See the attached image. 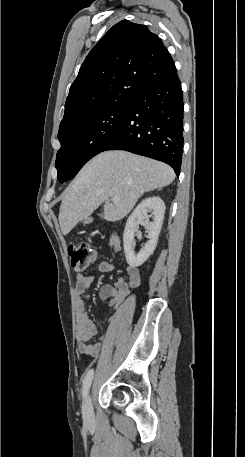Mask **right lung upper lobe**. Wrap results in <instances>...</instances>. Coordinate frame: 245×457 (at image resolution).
Segmentation results:
<instances>
[{"label": "right lung upper lobe", "mask_w": 245, "mask_h": 457, "mask_svg": "<svg viewBox=\"0 0 245 457\" xmlns=\"http://www.w3.org/2000/svg\"><path fill=\"white\" fill-rule=\"evenodd\" d=\"M177 69L161 39L145 25L122 20L95 45L70 87L60 124L118 101Z\"/></svg>", "instance_id": "obj_1"}]
</instances>
